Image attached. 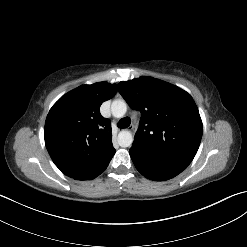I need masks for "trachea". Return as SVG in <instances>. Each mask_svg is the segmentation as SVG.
Here are the masks:
<instances>
[{"label":"trachea","mask_w":247,"mask_h":247,"mask_svg":"<svg viewBox=\"0 0 247 247\" xmlns=\"http://www.w3.org/2000/svg\"><path fill=\"white\" fill-rule=\"evenodd\" d=\"M117 125L119 128H126L130 125V120H129V118L125 117V118L121 119Z\"/></svg>","instance_id":"3493384b"}]
</instances>
